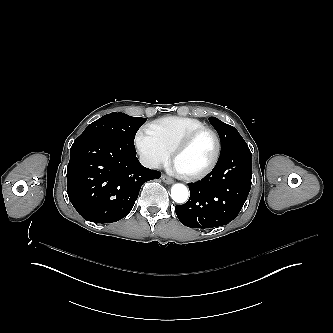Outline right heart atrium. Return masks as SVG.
Here are the masks:
<instances>
[{"mask_svg": "<svg viewBox=\"0 0 333 333\" xmlns=\"http://www.w3.org/2000/svg\"><path fill=\"white\" fill-rule=\"evenodd\" d=\"M136 149L144 162L153 169L165 166L169 152L162 146L148 142L138 135L135 141Z\"/></svg>", "mask_w": 333, "mask_h": 333, "instance_id": "obj_1", "label": "right heart atrium"}]
</instances>
